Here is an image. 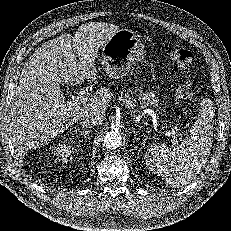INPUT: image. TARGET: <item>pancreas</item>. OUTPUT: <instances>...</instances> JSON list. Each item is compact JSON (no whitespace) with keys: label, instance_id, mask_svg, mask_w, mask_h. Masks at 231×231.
<instances>
[{"label":"pancreas","instance_id":"1","mask_svg":"<svg viewBox=\"0 0 231 231\" xmlns=\"http://www.w3.org/2000/svg\"><path fill=\"white\" fill-rule=\"evenodd\" d=\"M139 98L142 99L141 107L139 109H135L136 105L133 100L129 97L128 94L121 96L118 98L119 101H122L126 108H128L133 114L138 112L140 113L142 109H144L147 105L153 106L155 108L158 107V100H150L151 96L149 93H140Z\"/></svg>","mask_w":231,"mask_h":231}]
</instances>
